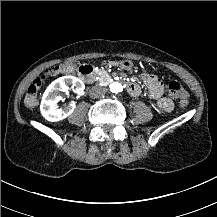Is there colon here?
Masks as SVG:
<instances>
[{"label":"colon","mask_w":217,"mask_h":217,"mask_svg":"<svg viewBox=\"0 0 217 217\" xmlns=\"http://www.w3.org/2000/svg\"><path fill=\"white\" fill-rule=\"evenodd\" d=\"M77 68V63L74 60H69L67 63H56L45 72L39 75L36 80H34L28 87L25 96L24 104L28 109H34L38 104V92L40 89V84L44 83L48 78L56 73L68 74L70 71H74ZM168 92L170 95L174 96L178 104L185 107L189 104V95L184 89V87L177 81H170L167 85Z\"/></svg>","instance_id":"obj_1"}]
</instances>
